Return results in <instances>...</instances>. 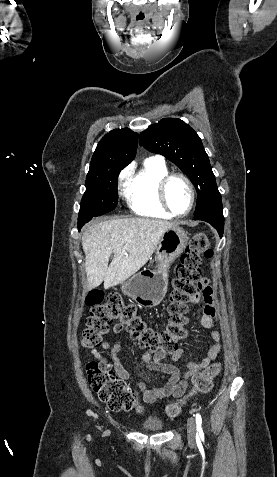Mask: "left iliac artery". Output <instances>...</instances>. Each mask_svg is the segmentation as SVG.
<instances>
[{
	"mask_svg": "<svg viewBox=\"0 0 277 477\" xmlns=\"http://www.w3.org/2000/svg\"><path fill=\"white\" fill-rule=\"evenodd\" d=\"M196 424H197V431L200 434V436L202 437L203 436V431H202V428H201L202 418H201L199 413L196 414Z\"/></svg>",
	"mask_w": 277,
	"mask_h": 477,
	"instance_id": "44dca946",
	"label": "left iliac artery"
}]
</instances>
